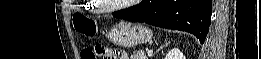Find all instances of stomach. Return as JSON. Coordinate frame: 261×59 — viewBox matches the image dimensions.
Returning <instances> with one entry per match:
<instances>
[{
	"label": "stomach",
	"instance_id": "0dacf381",
	"mask_svg": "<svg viewBox=\"0 0 261 59\" xmlns=\"http://www.w3.org/2000/svg\"><path fill=\"white\" fill-rule=\"evenodd\" d=\"M107 38L122 47H134L147 43L152 39L151 30L139 23L121 21L114 25L106 34Z\"/></svg>",
	"mask_w": 261,
	"mask_h": 59
}]
</instances>
